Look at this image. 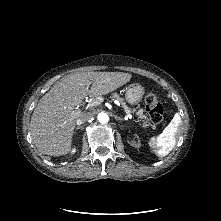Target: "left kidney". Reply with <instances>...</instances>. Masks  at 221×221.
Masks as SVG:
<instances>
[{
	"instance_id": "obj_1",
	"label": "left kidney",
	"mask_w": 221,
	"mask_h": 221,
	"mask_svg": "<svg viewBox=\"0 0 221 221\" xmlns=\"http://www.w3.org/2000/svg\"><path fill=\"white\" fill-rule=\"evenodd\" d=\"M131 145L135 148H138V147H140V142L138 140L137 142L131 143Z\"/></svg>"
}]
</instances>
